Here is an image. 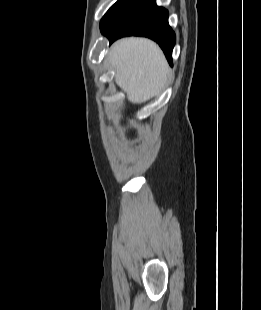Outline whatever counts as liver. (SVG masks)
I'll return each instance as SVG.
<instances>
[{"instance_id":"obj_1","label":"liver","mask_w":261,"mask_h":310,"mask_svg":"<svg viewBox=\"0 0 261 310\" xmlns=\"http://www.w3.org/2000/svg\"><path fill=\"white\" fill-rule=\"evenodd\" d=\"M115 81L134 104L158 95L170 72L156 43L147 38L129 37L116 41L110 50Z\"/></svg>"}]
</instances>
